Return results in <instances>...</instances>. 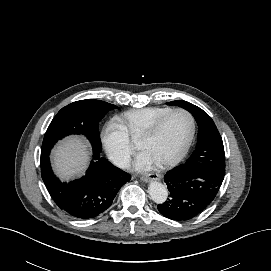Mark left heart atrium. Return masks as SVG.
<instances>
[{
  "mask_svg": "<svg viewBox=\"0 0 271 271\" xmlns=\"http://www.w3.org/2000/svg\"><path fill=\"white\" fill-rule=\"evenodd\" d=\"M156 163L157 162L153 156L148 151L143 150L136 157L133 165L137 171H147L151 169Z\"/></svg>",
  "mask_w": 271,
  "mask_h": 271,
  "instance_id": "obj_1",
  "label": "left heart atrium"
}]
</instances>
